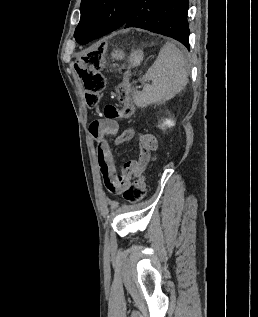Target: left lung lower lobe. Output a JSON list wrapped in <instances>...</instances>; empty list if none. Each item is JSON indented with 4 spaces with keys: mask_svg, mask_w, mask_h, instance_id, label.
Instances as JSON below:
<instances>
[{
    "mask_svg": "<svg viewBox=\"0 0 258 317\" xmlns=\"http://www.w3.org/2000/svg\"><path fill=\"white\" fill-rule=\"evenodd\" d=\"M188 8L189 0H133L122 26L137 27L171 37L189 49ZM114 30L98 27L78 43L85 44Z\"/></svg>",
    "mask_w": 258,
    "mask_h": 317,
    "instance_id": "1",
    "label": "left lung lower lobe"
}]
</instances>
